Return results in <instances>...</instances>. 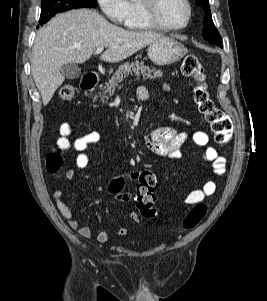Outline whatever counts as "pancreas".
<instances>
[{"label": "pancreas", "mask_w": 267, "mask_h": 301, "mask_svg": "<svg viewBox=\"0 0 267 301\" xmlns=\"http://www.w3.org/2000/svg\"><path fill=\"white\" fill-rule=\"evenodd\" d=\"M133 74L136 75L138 79L140 78V75H142L144 80L156 79L162 76V70L155 69L153 67L150 68L148 65L139 61L132 63L126 62L118 67L111 79L106 82L104 86H101V90L103 91L101 94L102 100L106 101L110 96H113L119 83H121L122 80L129 75Z\"/></svg>", "instance_id": "cf45deb5"}]
</instances>
